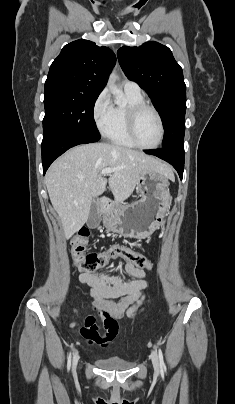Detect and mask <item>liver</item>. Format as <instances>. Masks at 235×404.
<instances>
[{
    "mask_svg": "<svg viewBox=\"0 0 235 404\" xmlns=\"http://www.w3.org/2000/svg\"><path fill=\"white\" fill-rule=\"evenodd\" d=\"M105 168L114 170L108 179L101 174ZM150 170L174 178L169 165L139 151L107 143L84 144L68 150L45 176L65 237H71L87 222L93 197L101 195L107 183L119 205L132 194L141 175Z\"/></svg>",
    "mask_w": 235,
    "mask_h": 404,
    "instance_id": "liver-1",
    "label": "liver"
}]
</instances>
